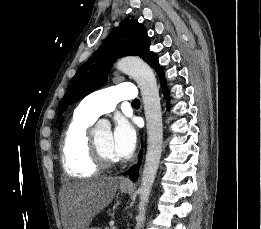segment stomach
I'll return each instance as SVG.
<instances>
[{
  "instance_id": "stomach-1",
  "label": "stomach",
  "mask_w": 261,
  "mask_h": 229,
  "mask_svg": "<svg viewBox=\"0 0 261 229\" xmlns=\"http://www.w3.org/2000/svg\"><path fill=\"white\" fill-rule=\"evenodd\" d=\"M121 193H127L128 187H120Z\"/></svg>"
}]
</instances>
